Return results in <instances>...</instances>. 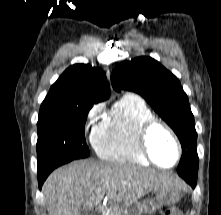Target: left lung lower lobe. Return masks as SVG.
<instances>
[{
  "instance_id": "obj_1",
  "label": "left lung lower lobe",
  "mask_w": 221,
  "mask_h": 215,
  "mask_svg": "<svg viewBox=\"0 0 221 215\" xmlns=\"http://www.w3.org/2000/svg\"><path fill=\"white\" fill-rule=\"evenodd\" d=\"M194 189L197 183V175H180Z\"/></svg>"
}]
</instances>
